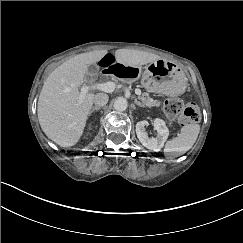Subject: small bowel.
I'll use <instances>...</instances> for the list:
<instances>
[{
	"label": "small bowel",
	"mask_w": 243,
	"mask_h": 243,
	"mask_svg": "<svg viewBox=\"0 0 243 243\" xmlns=\"http://www.w3.org/2000/svg\"><path fill=\"white\" fill-rule=\"evenodd\" d=\"M118 63H121V61L119 60L118 56L112 52L103 54L99 60V65L105 69Z\"/></svg>",
	"instance_id": "obj_1"
}]
</instances>
